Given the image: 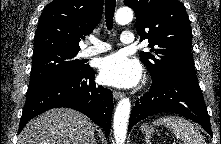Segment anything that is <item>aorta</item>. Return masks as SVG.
<instances>
[{
    "mask_svg": "<svg viewBox=\"0 0 221 144\" xmlns=\"http://www.w3.org/2000/svg\"><path fill=\"white\" fill-rule=\"evenodd\" d=\"M133 19V11L129 7L120 8L115 15V20L120 25L128 24ZM131 102L129 98L119 101L113 121L114 138L116 144H124L127 135L128 120L130 115Z\"/></svg>",
    "mask_w": 221,
    "mask_h": 144,
    "instance_id": "obj_1",
    "label": "aorta"
}]
</instances>
